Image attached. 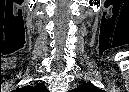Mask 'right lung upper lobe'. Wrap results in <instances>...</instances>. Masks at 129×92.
Segmentation results:
<instances>
[{"label": "right lung upper lobe", "mask_w": 129, "mask_h": 92, "mask_svg": "<svg viewBox=\"0 0 129 92\" xmlns=\"http://www.w3.org/2000/svg\"><path fill=\"white\" fill-rule=\"evenodd\" d=\"M45 90L46 88L43 84H37L36 86H25L21 89H18V91L21 92H41Z\"/></svg>", "instance_id": "obj_1"}]
</instances>
